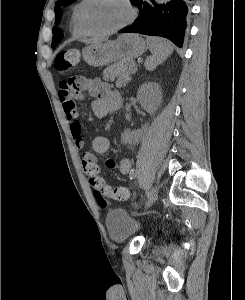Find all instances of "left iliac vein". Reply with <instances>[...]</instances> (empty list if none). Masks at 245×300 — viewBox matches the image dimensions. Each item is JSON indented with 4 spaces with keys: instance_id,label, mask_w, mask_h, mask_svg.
Returning a JSON list of instances; mask_svg holds the SVG:
<instances>
[{
    "instance_id": "obj_1",
    "label": "left iliac vein",
    "mask_w": 245,
    "mask_h": 300,
    "mask_svg": "<svg viewBox=\"0 0 245 300\" xmlns=\"http://www.w3.org/2000/svg\"><path fill=\"white\" fill-rule=\"evenodd\" d=\"M158 196V188L156 186H153L147 197V201L145 203V210L152 206V204L155 202Z\"/></svg>"
}]
</instances>
